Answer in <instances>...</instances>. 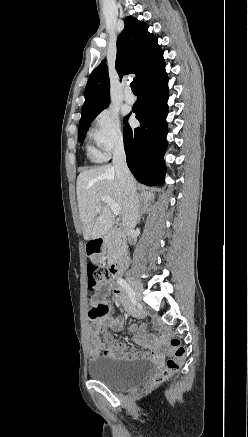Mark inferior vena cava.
Masks as SVG:
<instances>
[{
  "label": "inferior vena cava",
  "mask_w": 248,
  "mask_h": 437,
  "mask_svg": "<svg viewBox=\"0 0 248 437\" xmlns=\"http://www.w3.org/2000/svg\"><path fill=\"white\" fill-rule=\"evenodd\" d=\"M113 165L116 176L124 189L126 200V214L123 217V225L130 238L139 217V200L136 193L134 177L132 176L127 163L123 141L115 144L113 153Z\"/></svg>",
  "instance_id": "inferior-vena-cava-1"
}]
</instances>
